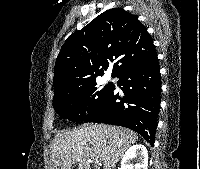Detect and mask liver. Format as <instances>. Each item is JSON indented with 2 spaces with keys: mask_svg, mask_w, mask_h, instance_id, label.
I'll return each instance as SVG.
<instances>
[{
  "mask_svg": "<svg viewBox=\"0 0 200 169\" xmlns=\"http://www.w3.org/2000/svg\"><path fill=\"white\" fill-rule=\"evenodd\" d=\"M138 141L137 133L119 126L86 124L58 132L51 144V169H91L92 161L114 169L125 151Z\"/></svg>",
  "mask_w": 200,
  "mask_h": 169,
  "instance_id": "obj_1",
  "label": "liver"
}]
</instances>
